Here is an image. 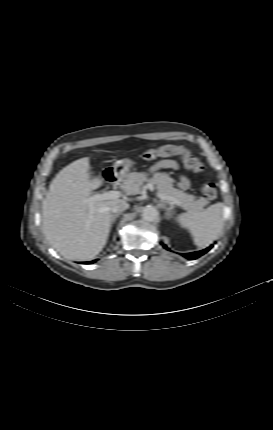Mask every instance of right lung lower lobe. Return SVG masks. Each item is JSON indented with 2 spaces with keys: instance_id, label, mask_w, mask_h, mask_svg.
I'll use <instances>...</instances> for the list:
<instances>
[{
  "instance_id": "98d812e1",
  "label": "right lung lower lobe",
  "mask_w": 273,
  "mask_h": 430,
  "mask_svg": "<svg viewBox=\"0 0 273 430\" xmlns=\"http://www.w3.org/2000/svg\"><path fill=\"white\" fill-rule=\"evenodd\" d=\"M94 262H96V260L91 261V262H81V263H83V264H92V263H94Z\"/></svg>"
}]
</instances>
